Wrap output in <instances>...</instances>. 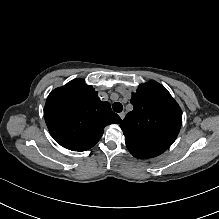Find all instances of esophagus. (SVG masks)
I'll return each mask as SVG.
<instances>
[{
    "instance_id": "esophagus-1",
    "label": "esophagus",
    "mask_w": 219,
    "mask_h": 219,
    "mask_svg": "<svg viewBox=\"0 0 219 219\" xmlns=\"http://www.w3.org/2000/svg\"><path fill=\"white\" fill-rule=\"evenodd\" d=\"M119 116H120L121 120H123L124 117H125V113H124V112H121V113L119 114Z\"/></svg>"
}]
</instances>
